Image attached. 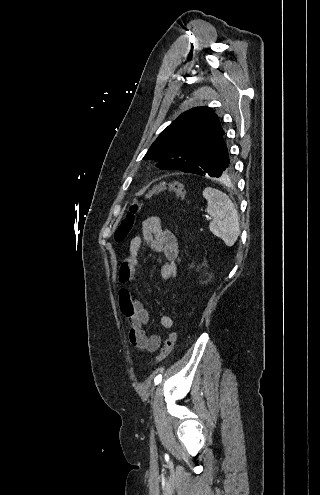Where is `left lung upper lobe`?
Returning a JSON list of instances; mask_svg holds the SVG:
<instances>
[{"instance_id":"5c2ea615","label":"left lung upper lobe","mask_w":320,"mask_h":495,"mask_svg":"<svg viewBox=\"0 0 320 495\" xmlns=\"http://www.w3.org/2000/svg\"><path fill=\"white\" fill-rule=\"evenodd\" d=\"M223 135L219 118L211 108H192L161 132L144 159L159 161L157 167L163 170L184 171Z\"/></svg>"}]
</instances>
